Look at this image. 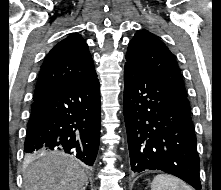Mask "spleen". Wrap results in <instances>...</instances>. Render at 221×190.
Here are the masks:
<instances>
[{
  "mask_svg": "<svg viewBox=\"0 0 221 190\" xmlns=\"http://www.w3.org/2000/svg\"><path fill=\"white\" fill-rule=\"evenodd\" d=\"M151 190H193L186 183L171 175H156L151 183Z\"/></svg>",
  "mask_w": 221,
  "mask_h": 190,
  "instance_id": "obj_1",
  "label": "spleen"
}]
</instances>
